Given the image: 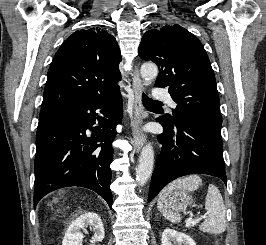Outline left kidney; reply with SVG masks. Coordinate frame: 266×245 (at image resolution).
I'll return each instance as SVG.
<instances>
[{
	"label": "left kidney",
	"mask_w": 266,
	"mask_h": 245,
	"mask_svg": "<svg viewBox=\"0 0 266 245\" xmlns=\"http://www.w3.org/2000/svg\"><path fill=\"white\" fill-rule=\"evenodd\" d=\"M161 241L162 245H172V243H177V245H196L189 235L178 233L174 229H164Z\"/></svg>",
	"instance_id": "obj_1"
}]
</instances>
